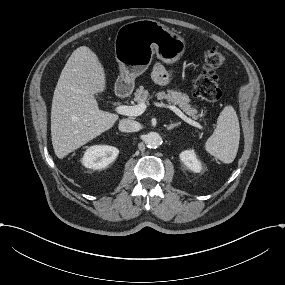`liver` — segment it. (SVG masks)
Here are the masks:
<instances>
[{
	"mask_svg": "<svg viewBox=\"0 0 285 285\" xmlns=\"http://www.w3.org/2000/svg\"><path fill=\"white\" fill-rule=\"evenodd\" d=\"M106 87L96 54L81 46L67 60L56 85L51 109V136L56 156L64 158L112 128L118 115L102 111L95 94Z\"/></svg>",
	"mask_w": 285,
	"mask_h": 285,
	"instance_id": "1",
	"label": "liver"
}]
</instances>
